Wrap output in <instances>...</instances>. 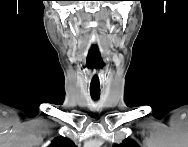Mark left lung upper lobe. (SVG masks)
Instances as JSON below:
<instances>
[{
    "label": "left lung upper lobe",
    "mask_w": 188,
    "mask_h": 147,
    "mask_svg": "<svg viewBox=\"0 0 188 147\" xmlns=\"http://www.w3.org/2000/svg\"><path fill=\"white\" fill-rule=\"evenodd\" d=\"M114 146H116V147H138L137 143L131 139L125 140L122 144L114 145Z\"/></svg>",
    "instance_id": "left-lung-upper-lobe-1"
}]
</instances>
